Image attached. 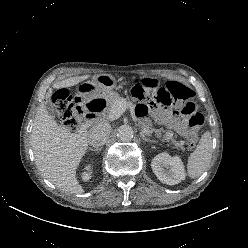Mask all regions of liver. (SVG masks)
I'll return each mask as SVG.
<instances>
[{"instance_id":"6515ba94","label":"liver","mask_w":248,"mask_h":248,"mask_svg":"<svg viewBox=\"0 0 248 248\" xmlns=\"http://www.w3.org/2000/svg\"><path fill=\"white\" fill-rule=\"evenodd\" d=\"M89 75L70 77L55 82L53 88L61 89L74 86ZM50 88L47 98L52 96ZM88 133H71L67 128L58 126L42 103L35 115L31 132V145L35 163L42 175L56 187L73 194L84 190L76 178V169L88 146Z\"/></svg>"}]
</instances>
